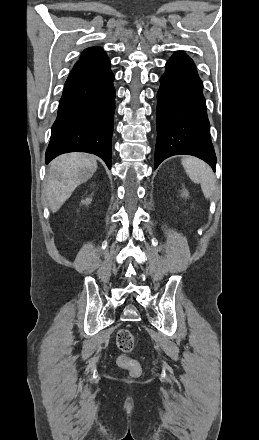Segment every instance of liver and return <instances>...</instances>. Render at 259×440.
Masks as SVG:
<instances>
[{
	"instance_id": "liver-1",
	"label": "liver",
	"mask_w": 259,
	"mask_h": 440,
	"mask_svg": "<svg viewBox=\"0 0 259 440\" xmlns=\"http://www.w3.org/2000/svg\"><path fill=\"white\" fill-rule=\"evenodd\" d=\"M96 170V157L87 153H67L55 158L48 167L45 184L51 211L57 212L77 186L88 181Z\"/></svg>"
}]
</instances>
